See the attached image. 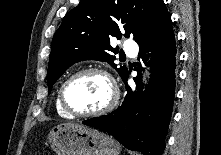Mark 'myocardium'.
Here are the masks:
<instances>
[{
    "mask_svg": "<svg viewBox=\"0 0 221 155\" xmlns=\"http://www.w3.org/2000/svg\"><path fill=\"white\" fill-rule=\"evenodd\" d=\"M85 74H98V75L103 76L108 82L109 87H110V98L108 102L106 103V105L100 108L99 110L83 113V112L74 111L68 105L66 101V90L69 84L74 79ZM118 100H119V89H118L115 79L107 70L100 68V67H87V68H83V69L76 71L63 82L59 90L60 105L72 117L94 118V117H100V116L106 115L116 107Z\"/></svg>",
    "mask_w": 221,
    "mask_h": 155,
    "instance_id": "f54148a6",
    "label": "myocardium"
}]
</instances>
